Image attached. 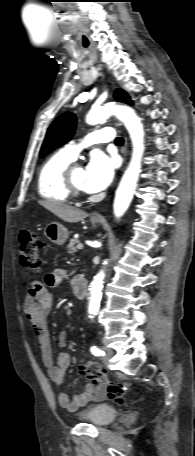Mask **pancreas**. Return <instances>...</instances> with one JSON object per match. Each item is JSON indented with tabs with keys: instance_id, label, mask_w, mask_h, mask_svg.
I'll use <instances>...</instances> for the list:
<instances>
[{
	"instance_id": "pancreas-1",
	"label": "pancreas",
	"mask_w": 195,
	"mask_h": 456,
	"mask_svg": "<svg viewBox=\"0 0 195 456\" xmlns=\"http://www.w3.org/2000/svg\"><path fill=\"white\" fill-rule=\"evenodd\" d=\"M79 241L75 238L70 239L69 244L67 245V253L73 254L77 251V247L75 246Z\"/></svg>"
}]
</instances>
